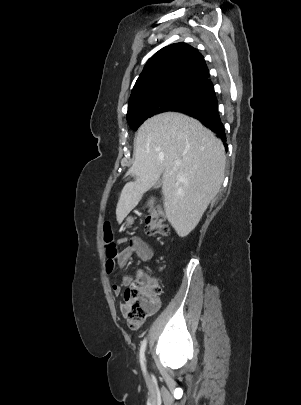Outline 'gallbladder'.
<instances>
[{
	"instance_id": "obj_1",
	"label": "gallbladder",
	"mask_w": 301,
	"mask_h": 405,
	"mask_svg": "<svg viewBox=\"0 0 301 405\" xmlns=\"http://www.w3.org/2000/svg\"><path fill=\"white\" fill-rule=\"evenodd\" d=\"M161 186V180H159L156 184H155V188H159Z\"/></svg>"
}]
</instances>
